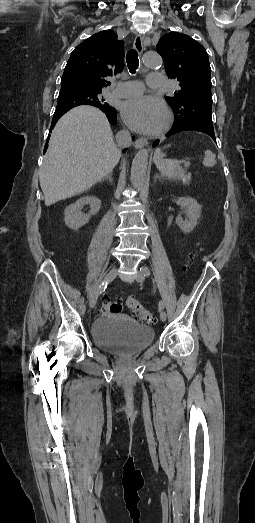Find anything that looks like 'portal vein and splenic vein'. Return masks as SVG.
<instances>
[{"label": "portal vein and splenic vein", "mask_w": 255, "mask_h": 523, "mask_svg": "<svg viewBox=\"0 0 255 523\" xmlns=\"http://www.w3.org/2000/svg\"><path fill=\"white\" fill-rule=\"evenodd\" d=\"M191 165H192V162H191L190 160H187V161L185 162V168H188V167H190ZM182 172H185V169H182Z\"/></svg>", "instance_id": "portal-vein-and-splenic-vein-1"}]
</instances>
